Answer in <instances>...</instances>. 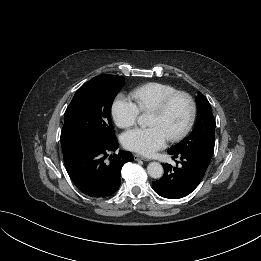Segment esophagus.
<instances>
[{
  "instance_id": "obj_1",
  "label": "esophagus",
  "mask_w": 261,
  "mask_h": 261,
  "mask_svg": "<svg viewBox=\"0 0 261 261\" xmlns=\"http://www.w3.org/2000/svg\"><path fill=\"white\" fill-rule=\"evenodd\" d=\"M134 159L135 160H144V161H148L147 158L143 157V156H140L138 154H134Z\"/></svg>"
}]
</instances>
